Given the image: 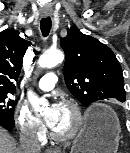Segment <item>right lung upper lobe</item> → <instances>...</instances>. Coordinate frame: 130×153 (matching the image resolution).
Listing matches in <instances>:
<instances>
[{
	"instance_id": "obj_1",
	"label": "right lung upper lobe",
	"mask_w": 130,
	"mask_h": 153,
	"mask_svg": "<svg viewBox=\"0 0 130 153\" xmlns=\"http://www.w3.org/2000/svg\"><path fill=\"white\" fill-rule=\"evenodd\" d=\"M31 43L19 36V31L0 32V93L12 94L18 80L23 56Z\"/></svg>"
}]
</instances>
